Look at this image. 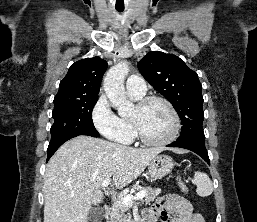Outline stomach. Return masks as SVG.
<instances>
[{"instance_id": "1", "label": "stomach", "mask_w": 257, "mask_h": 222, "mask_svg": "<svg viewBox=\"0 0 257 222\" xmlns=\"http://www.w3.org/2000/svg\"><path fill=\"white\" fill-rule=\"evenodd\" d=\"M173 167L174 161L170 156L158 155L148 164V172L153 180H157L168 175Z\"/></svg>"}]
</instances>
